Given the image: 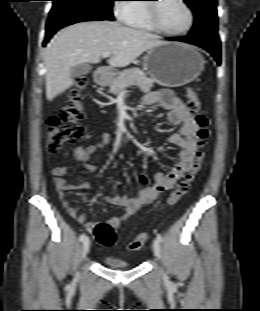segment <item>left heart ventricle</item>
I'll list each match as a JSON object with an SVG mask.
<instances>
[{
  "label": "left heart ventricle",
  "mask_w": 260,
  "mask_h": 311,
  "mask_svg": "<svg viewBox=\"0 0 260 311\" xmlns=\"http://www.w3.org/2000/svg\"><path fill=\"white\" fill-rule=\"evenodd\" d=\"M157 16L161 26L169 31H181L188 24V13L178 0H161Z\"/></svg>",
  "instance_id": "left-heart-ventricle-1"
}]
</instances>
